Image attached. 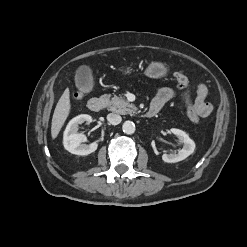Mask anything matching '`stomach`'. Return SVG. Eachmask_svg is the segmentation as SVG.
Returning a JSON list of instances; mask_svg holds the SVG:
<instances>
[{"instance_id":"obj_1","label":"stomach","mask_w":247,"mask_h":247,"mask_svg":"<svg viewBox=\"0 0 247 247\" xmlns=\"http://www.w3.org/2000/svg\"><path fill=\"white\" fill-rule=\"evenodd\" d=\"M168 67L160 62H151L145 70V75L152 79H159L165 77L168 74ZM131 72L129 69L122 71L123 75H129Z\"/></svg>"}]
</instances>
